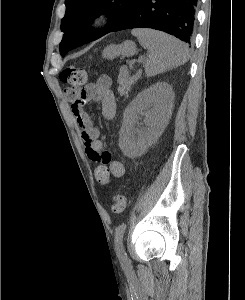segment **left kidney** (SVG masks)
Masks as SVG:
<instances>
[{
  "instance_id": "left-kidney-1",
  "label": "left kidney",
  "mask_w": 245,
  "mask_h": 300,
  "mask_svg": "<svg viewBox=\"0 0 245 300\" xmlns=\"http://www.w3.org/2000/svg\"><path fill=\"white\" fill-rule=\"evenodd\" d=\"M172 102V88L159 82L139 93L128 105L123 114L119 141L125 155H140L158 138L171 114ZM139 114L145 116V128L135 127Z\"/></svg>"
}]
</instances>
